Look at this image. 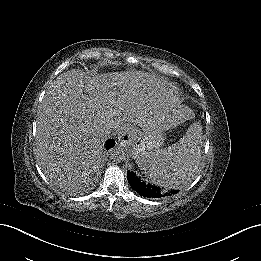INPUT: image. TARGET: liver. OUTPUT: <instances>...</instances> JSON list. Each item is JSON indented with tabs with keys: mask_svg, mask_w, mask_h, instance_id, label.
<instances>
[{
	"mask_svg": "<svg viewBox=\"0 0 261 261\" xmlns=\"http://www.w3.org/2000/svg\"><path fill=\"white\" fill-rule=\"evenodd\" d=\"M111 74L90 77L71 70L43 98L37 121L36 157L42 171L60 184L84 179L98 165L105 129L128 122L146 127L162 119L164 99L147 105Z\"/></svg>",
	"mask_w": 261,
	"mask_h": 261,
	"instance_id": "liver-1",
	"label": "liver"
}]
</instances>
